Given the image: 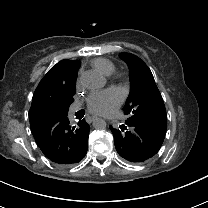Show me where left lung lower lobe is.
Returning <instances> with one entry per match:
<instances>
[{
  "label": "left lung lower lobe",
  "instance_id": "obj_1",
  "mask_svg": "<svg viewBox=\"0 0 208 208\" xmlns=\"http://www.w3.org/2000/svg\"><path fill=\"white\" fill-rule=\"evenodd\" d=\"M110 130L118 154L131 163H143L152 158L160 149L165 134L141 122L127 119L125 125Z\"/></svg>",
  "mask_w": 208,
  "mask_h": 208
}]
</instances>
